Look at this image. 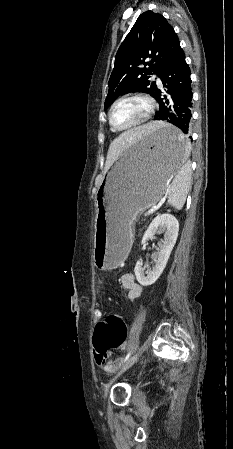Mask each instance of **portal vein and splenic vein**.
<instances>
[{"instance_id":"portal-vein-and-splenic-vein-1","label":"portal vein and splenic vein","mask_w":233,"mask_h":449,"mask_svg":"<svg viewBox=\"0 0 233 449\" xmlns=\"http://www.w3.org/2000/svg\"><path fill=\"white\" fill-rule=\"evenodd\" d=\"M155 209H156V207H152V208H150V209L147 211V213H148V214H151V213H153V212L155 211Z\"/></svg>"}]
</instances>
